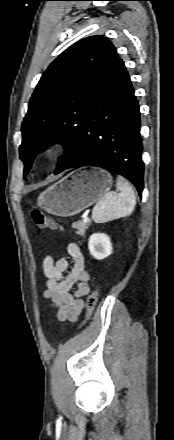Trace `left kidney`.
Returning a JSON list of instances; mask_svg holds the SVG:
<instances>
[{
	"instance_id": "5707ae66",
	"label": "left kidney",
	"mask_w": 174,
	"mask_h": 440,
	"mask_svg": "<svg viewBox=\"0 0 174 440\" xmlns=\"http://www.w3.org/2000/svg\"><path fill=\"white\" fill-rule=\"evenodd\" d=\"M90 254L98 260L108 257L112 253L110 238L104 233H95L90 236L88 242Z\"/></svg>"
}]
</instances>
